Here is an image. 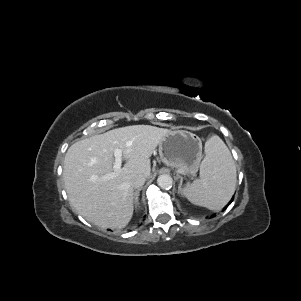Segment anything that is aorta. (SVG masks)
I'll return each instance as SVG.
<instances>
[{
  "label": "aorta",
  "instance_id": "762f6f07",
  "mask_svg": "<svg viewBox=\"0 0 301 301\" xmlns=\"http://www.w3.org/2000/svg\"><path fill=\"white\" fill-rule=\"evenodd\" d=\"M157 184L160 188L168 190L172 187L173 179L168 174H162L158 177Z\"/></svg>",
  "mask_w": 301,
  "mask_h": 301
}]
</instances>
